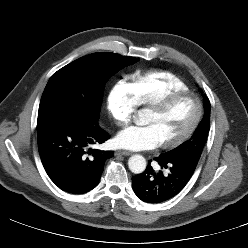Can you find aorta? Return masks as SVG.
I'll return each instance as SVG.
<instances>
[{
    "label": "aorta",
    "instance_id": "1",
    "mask_svg": "<svg viewBox=\"0 0 248 248\" xmlns=\"http://www.w3.org/2000/svg\"><path fill=\"white\" fill-rule=\"evenodd\" d=\"M146 160L142 155L136 154L129 158L128 167L131 172L140 174L146 169Z\"/></svg>",
    "mask_w": 248,
    "mask_h": 248
}]
</instances>
